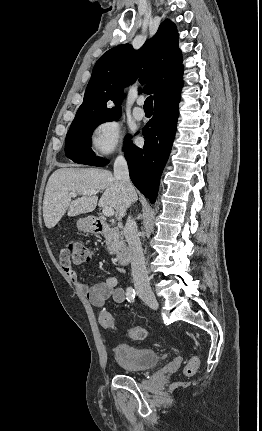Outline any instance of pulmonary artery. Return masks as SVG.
Returning a JSON list of instances; mask_svg holds the SVG:
<instances>
[{
  "label": "pulmonary artery",
  "instance_id": "e3ab8cb5",
  "mask_svg": "<svg viewBox=\"0 0 262 431\" xmlns=\"http://www.w3.org/2000/svg\"><path fill=\"white\" fill-rule=\"evenodd\" d=\"M143 102H144V99H143V98H139V99L137 100V104H138V105H141ZM133 117H134L136 120H142V119L145 117V113H144V111H143L139 106H136V107L133 109Z\"/></svg>",
  "mask_w": 262,
  "mask_h": 431
}]
</instances>
